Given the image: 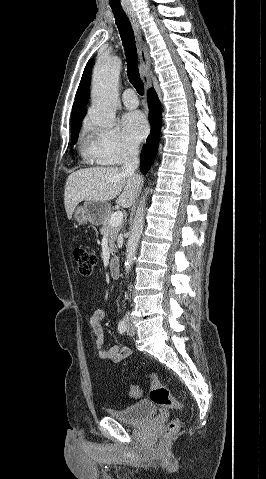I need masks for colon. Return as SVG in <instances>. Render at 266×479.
Wrapping results in <instances>:
<instances>
[{
    "instance_id": "1",
    "label": "colon",
    "mask_w": 266,
    "mask_h": 479,
    "mask_svg": "<svg viewBox=\"0 0 266 479\" xmlns=\"http://www.w3.org/2000/svg\"><path fill=\"white\" fill-rule=\"evenodd\" d=\"M74 261L77 265L78 272L81 275L89 276L91 275L94 265L96 263V256L93 252L89 251L83 247H77L73 251ZM149 377L151 379V389L149 397L152 402L159 406L172 408L175 410H181L183 404L171 394V392L161 383L156 373H150ZM129 392L131 396L138 398L141 396L142 391L138 386L131 385L129 387ZM180 427L179 419L172 420L164 433V440L170 439L174 434L177 433Z\"/></svg>"
}]
</instances>
